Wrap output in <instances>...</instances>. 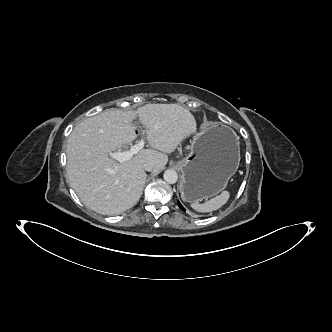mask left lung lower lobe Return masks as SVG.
I'll return each instance as SVG.
<instances>
[{
  "label": "left lung lower lobe",
  "mask_w": 332,
  "mask_h": 332,
  "mask_svg": "<svg viewBox=\"0 0 332 332\" xmlns=\"http://www.w3.org/2000/svg\"><path fill=\"white\" fill-rule=\"evenodd\" d=\"M178 205H179V207L183 210V211H185V209L182 207V205H181V203L178 201Z\"/></svg>",
  "instance_id": "0a47b994"
}]
</instances>
